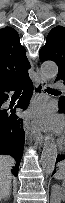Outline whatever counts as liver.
I'll list each match as a JSON object with an SVG mask.
<instances>
[{"mask_svg": "<svg viewBox=\"0 0 65 203\" xmlns=\"http://www.w3.org/2000/svg\"><path fill=\"white\" fill-rule=\"evenodd\" d=\"M15 161L12 157L7 155L0 156V199L3 200L9 193H11V168Z\"/></svg>", "mask_w": 65, "mask_h": 203, "instance_id": "1", "label": "liver"}]
</instances>
